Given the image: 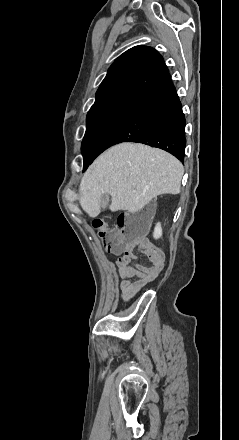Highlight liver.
<instances>
[{"label": "liver", "mask_w": 239, "mask_h": 440, "mask_svg": "<svg viewBox=\"0 0 239 440\" xmlns=\"http://www.w3.org/2000/svg\"><path fill=\"white\" fill-rule=\"evenodd\" d=\"M183 174L181 162L164 150L124 142L103 152L85 172L79 204L96 218L102 194H110L111 212H139L159 194H179Z\"/></svg>", "instance_id": "6515ba94"}]
</instances>
